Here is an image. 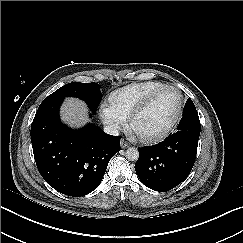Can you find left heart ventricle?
<instances>
[{
    "instance_id": "left-heart-ventricle-1",
    "label": "left heart ventricle",
    "mask_w": 243,
    "mask_h": 243,
    "mask_svg": "<svg viewBox=\"0 0 243 243\" xmlns=\"http://www.w3.org/2000/svg\"><path fill=\"white\" fill-rule=\"evenodd\" d=\"M178 104V92L168 90L161 93L136 118V129L149 136L161 133L175 117Z\"/></svg>"
}]
</instances>
